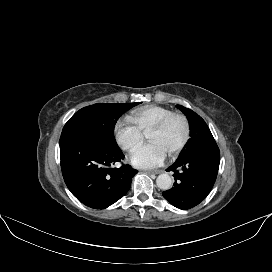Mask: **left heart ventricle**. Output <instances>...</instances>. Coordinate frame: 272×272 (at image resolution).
I'll return each instance as SVG.
<instances>
[{
	"label": "left heart ventricle",
	"instance_id": "1",
	"mask_svg": "<svg viewBox=\"0 0 272 272\" xmlns=\"http://www.w3.org/2000/svg\"><path fill=\"white\" fill-rule=\"evenodd\" d=\"M183 136V124L180 120H173L161 132H149V142H157L166 153H169L181 140Z\"/></svg>",
	"mask_w": 272,
	"mask_h": 272
}]
</instances>
